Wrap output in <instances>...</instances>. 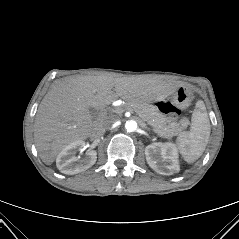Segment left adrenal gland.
Instances as JSON below:
<instances>
[{
    "instance_id": "1",
    "label": "left adrenal gland",
    "mask_w": 239,
    "mask_h": 239,
    "mask_svg": "<svg viewBox=\"0 0 239 239\" xmlns=\"http://www.w3.org/2000/svg\"><path fill=\"white\" fill-rule=\"evenodd\" d=\"M148 131H150V128H146Z\"/></svg>"
}]
</instances>
